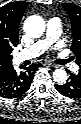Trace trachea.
<instances>
[{
	"instance_id": "3493384b",
	"label": "trachea",
	"mask_w": 81,
	"mask_h": 124,
	"mask_svg": "<svg viewBox=\"0 0 81 124\" xmlns=\"http://www.w3.org/2000/svg\"><path fill=\"white\" fill-rule=\"evenodd\" d=\"M67 63V60H60L59 61V64H61V65H64V64H66Z\"/></svg>"
}]
</instances>
